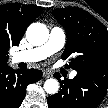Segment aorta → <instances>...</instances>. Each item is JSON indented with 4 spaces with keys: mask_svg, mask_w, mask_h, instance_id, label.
Masks as SVG:
<instances>
[{
    "mask_svg": "<svg viewBox=\"0 0 108 108\" xmlns=\"http://www.w3.org/2000/svg\"><path fill=\"white\" fill-rule=\"evenodd\" d=\"M28 42L34 46H40L47 42L49 30L42 23H32L26 30ZM44 90L48 94H56L59 90V82L56 79H47L44 83Z\"/></svg>",
    "mask_w": 108,
    "mask_h": 108,
    "instance_id": "aorta-1",
    "label": "aorta"
}]
</instances>
